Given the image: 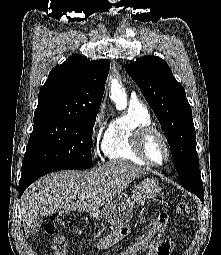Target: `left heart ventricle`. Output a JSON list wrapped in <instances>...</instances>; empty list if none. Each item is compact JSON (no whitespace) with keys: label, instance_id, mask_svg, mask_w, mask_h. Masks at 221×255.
<instances>
[{"label":"left heart ventricle","instance_id":"obj_1","mask_svg":"<svg viewBox=\"0 0 221 255\" xmlns=\"http://www.w3.org/2000/svg\"><path fill=\"white\" fill-rule=\"evenodd\" d=\"M146 153L150 160L155 163H161L166 158V150L161 139L152 135L146 142Z\"/></svg>","mask_w":221,"mask_h":255}]
</instances>
